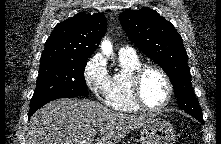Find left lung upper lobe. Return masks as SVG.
Returning <instances> with one entry per match:
<instances>
[{
  "mask_svg": "<svg viewBox=\"0 0 221 144\" xmlns=\"http://www.w3.org/2000/svg\"><path fill=\"white\" fill-rule=\"evenodd\" d=\"M119 19L129 39L167 73L179 108L190 115L202 116L192 90L183 40L173 24L147 7L126 10Z\"/></svg>",
  "mask_w": 221,
  "mask_h": 144,
  "instance_id": "1",
  "label": "left lung upper lobe"
}]
</instances>
